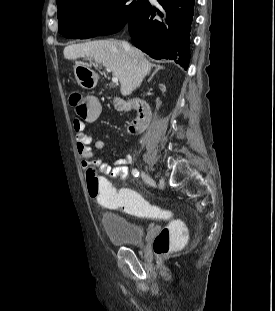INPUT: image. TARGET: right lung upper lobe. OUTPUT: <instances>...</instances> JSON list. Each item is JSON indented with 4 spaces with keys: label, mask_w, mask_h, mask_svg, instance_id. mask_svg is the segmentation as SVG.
<instances>
[{
    "label": "right lung upper lobe",
    "mask_w": 275,
    "mask_h": 311,
    "mask_svg": "<svg viewBox=\"0 0 275 311\" xmlns=\"http://www.w3.org/2000/svg\"><path fill=\"white\" fill-rule=\"evenodd\" d=\"M67 1H69V0H57V6L64 3V2H67Z\"/></svg>",
    "instance_id": "1"
}]
</instances>
